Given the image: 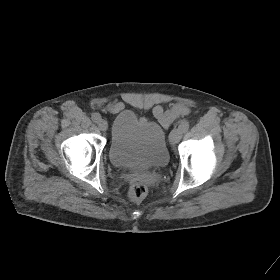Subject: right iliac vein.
<instances>
[{"mask_svg": "<svg viewBox=\"0 0 280 280\" xmlns=\"http://www.w3.org/2000/svg\"><path fill=\"white\" fill-rule=\"evenodd\" d=\"M98 127H99V129L101 130V131H106L107 129H108V124H107V122L105 121V120H100L99 122H98Z\"/></svg>", "mask_w": 280, "mask_h": 280, "instance_id": "right-iliac-vein-1", "label": "right iliac vein"}]
</instances>
